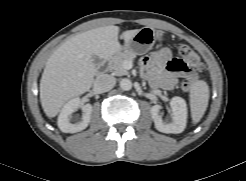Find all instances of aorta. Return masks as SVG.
<instances>
[{"label":"aorta","instance_id":"1","mask_svg":"<svg viewBox=\"0 0 246 181\" xmlns=\"http://www.w3.org/2000/svg\"><path fill=\"white\" fill-rule=\"evenodd\" d=\"M119 85H120V88H121L122 90H124V91H129V90L132 89V82H131V80L128 79V78H123V79H121Z\"/></svg>","mask_w":246,"mask_h":181}]
</instances>
